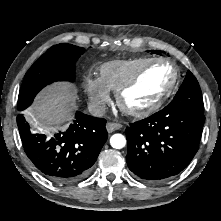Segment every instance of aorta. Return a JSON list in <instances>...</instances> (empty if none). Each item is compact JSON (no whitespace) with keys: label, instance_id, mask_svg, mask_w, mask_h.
Here are the masks:
<instances>
[{"label":"aorta","instance_id":"1","mask_svg":"<svg viewBox=\"0 0 221 221\" xmlns=\"http://www.w3.org/2000/svg\"><path fill=\"white\" fill-rule=\"evenodd\" d=\"M110 145L115 149H121L126 145V138L122 134H114L110 138Z\"/></svg>","mask_w":221,"mask_h":221}]
</instances>
